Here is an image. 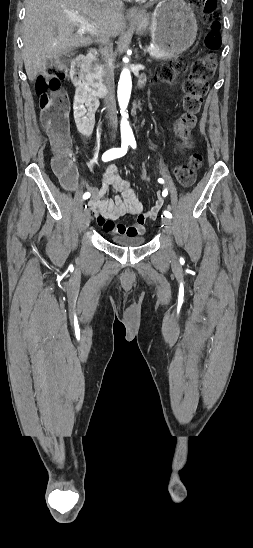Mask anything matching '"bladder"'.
I'll use <instances>...</instances> for the list:
<instances>
[{"label":"bladder","mask_w":253,"mask_h":548,"mask_svg":"<svg viewBox=\"0 0 253 548\" xmlns=\"http://www.w3.org/2000/svg\"><path fill=\"white\" fill-rule=\"evenodd\" d=\"M111 240L114 244L124 247H139L146 243L144 235L117 234L112 236Z\"/></svg>","instance_id":"31cf9c89"}]
</instances>
